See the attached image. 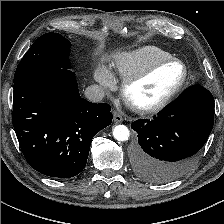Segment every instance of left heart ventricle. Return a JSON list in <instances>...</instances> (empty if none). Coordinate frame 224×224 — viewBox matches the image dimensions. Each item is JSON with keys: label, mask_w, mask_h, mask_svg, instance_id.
Returning <instances> with one entry per match:
<instances>
[{"label": "left heart ventricle", "mask_w": 224, "mask_h": 224, "mask_svg": "<svg viewBox=\"0 0 224 224\" xmlns=\"http://www.w3.org/2000/svg\"><path fill=\"white\" fill-rule=\"evenodd\" d=\"M182 67L168 64L136 83L130 89L132 100L140 106H150L165 97L182 77Z\"/></svg>", "instance_id": "b2bd125f"}]
</instances>
